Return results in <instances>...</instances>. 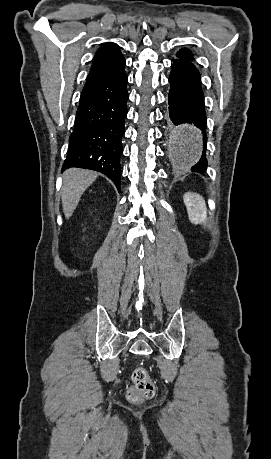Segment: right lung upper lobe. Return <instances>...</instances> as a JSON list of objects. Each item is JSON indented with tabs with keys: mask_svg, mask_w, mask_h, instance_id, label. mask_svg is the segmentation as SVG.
Instances as JSON below:
<instances>
[{
	"mask_svg": "<svg viewBox=\"0 0 271 459\" xmlns=\"http://www.w3.org/2000/svg\"><path fill=\"white\" fill-rule=\"evenodd\" d=\"M125 59L114 43H105L95 54L85 85L124 71Z\"/></svg>",
	"mask_w": 271,
	"mask_h": 459,
	"instance_id": "obj_1",
	"label": "right lung upper lobe"
}]
</instances>
